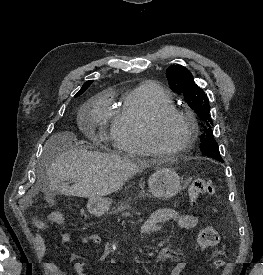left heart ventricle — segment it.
Wrapping results in <instances>:
<instances>
[{
    "label": "left heart ventricle",
    "instance_id": "b2bd125f",
    "mask_svg": "<svg viewBox=\"0 0 263 275\" xmlns=\"http://www.w3.org/2000/svg\"><path fill=\"white\" fill-rule=\"evenodd\" d=\"M189 127L185 120L171 116L162 120L156 128L157 143L165 149L180 147L187 139Z\"/></svg>",
    "mask_w": 263,
    "mask_h": 275
}]
</instances>
